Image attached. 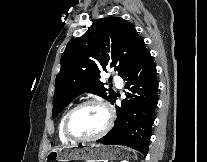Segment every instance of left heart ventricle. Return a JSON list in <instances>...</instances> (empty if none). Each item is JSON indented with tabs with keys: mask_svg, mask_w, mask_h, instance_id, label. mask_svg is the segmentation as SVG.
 Returning <instances> with one entry per match:
<instances>
[{
	"mask_svg": "<svg viewBox=\"0 0 207 162\" xmlns=\"http://www.w3.org/2000/svg\"><path fill=\"white\" fill-rule=\"evenodd\" d=\"M106 112L99 105H89L77 112L69 123L70 132L79 137L99 133L106 123Z\"/></svg>",
	"mask_w": 207,
	"mask_h": 162,
	"instance_id": "left-heart-ventricle-1",
	"label": "left heart ventricle"
}]
</instances>
